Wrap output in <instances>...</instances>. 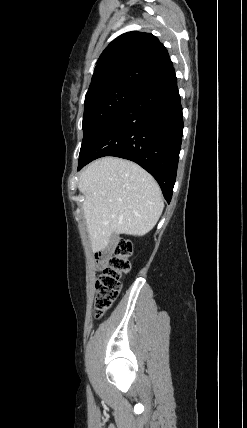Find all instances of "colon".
I'll return each instance as SVG.
<instances>
[{
    "label": "colon",
    "instance_id": "1",
    "mask_svg": "<svg viewBox=\"0 0 247 428\" xmlns=\"http://www.w3.org/2000/svg\"><path fill=\"white\" fill-rule=\"evenodd\" d=\"M131 254V242L119 239L111 249L96 255L101 272L96 281L95 317L100 318L118 297L122 280L131 268Z\"/></svg>",
    "mask_w": 247,
    "mask_h": 428
}]
</instances>
